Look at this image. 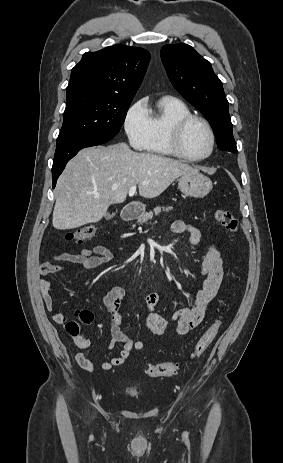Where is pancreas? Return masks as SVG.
Wrapping results in <instances>:
<instances>
[{"mask_svg":"<svg viewBox=\"0 0 283 463\" xmlns=\"http://www.w3.org/2000/svg\"><path fill=\"white\" fill-rule=\"evenodd\" d=\"M171 209H172V207H170V206L169 207H162V208L161 207H156V208H154L153 211L146 212V213L140 215L137 218V223L138 224L146 223L147 221L152 219L154 215H159L162 211L169 212Z\"/></svg>","mask_w":283,"mask_h":463,"instance_id":"pancreas-1","label":"pancreas"}]
</instances>
